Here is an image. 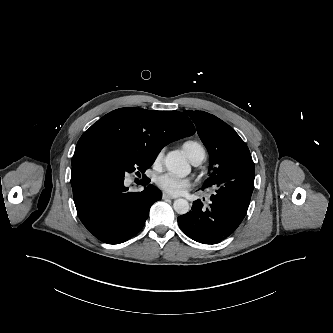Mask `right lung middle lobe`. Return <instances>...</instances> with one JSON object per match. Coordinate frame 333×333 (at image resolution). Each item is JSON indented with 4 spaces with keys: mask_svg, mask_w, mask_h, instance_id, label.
Segmentation results:
<instances>
[{
    "mask_svg": "<svg viewBox=\"0 0 333 333\" xmlns=\"http://www.w3.org/2000/svg\"><path fill=\"white\" fill-rule=\"evenodd\" d=\"M156 156L131 148L96 143L84 147L79 160L101 167L114 177L124 179L127 173H144L153 164Z\"/></svg>",
    "mask_w": 333,
    "mask_h": 333,
    "instance_id": "1",
    "label": "right lung middle lobe"
}]
</instances>
